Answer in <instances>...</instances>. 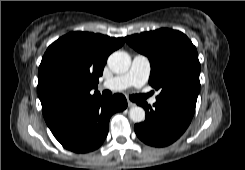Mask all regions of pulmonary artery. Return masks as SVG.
Segmentation results:
<instances>
[{
	"mask_svg": "<svg viewBox=\"0 0 245 170\" xmlns=\"http://www.w3.org/2000/svg\"><path fill=\"white\" fill-rule=\"evenodd\" d=\"M150 70L149 59L144 55L138 54L133 58L130 69L126 73L105 81L102 87L112 91L121 90L131 85L141 87L147 81ZM155 102L156 98L153 97L150 103L154 104Z\"/></svg>",
	"mask_w": 245,
	"mask_h": 170,
	"instance_id": "obj_1",
	"label": "pulmonary artery"
}]
</instances>
